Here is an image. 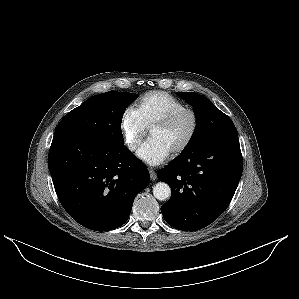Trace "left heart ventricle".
<instances>
[{"label": "left heart ventricle", "instance_id": "1", "mask_svg": "<svg viewBox=\"0 0 299 299\" xmlns=\"http://www.w3.org/2000/svg\"><path fill=\"white\" fill-rule=\"evenodd\" d=\"M191 118L186 116L173 126L166 129H153L150 132V138L161 141L172 153L187 138L191 130Z\"/></svg>", "mask_w": 299, "mask_h": 299}]
</instances>
